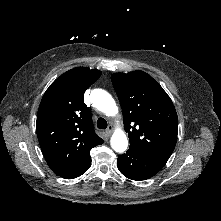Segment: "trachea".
I'll return each instance as SVG.
<instances>
[{"label": "trachea", "mask_w": 221, "mask_h": 221, "mask_svg": "<svg viewBox=\"0 0 221 221\" xmlns=\"http://www.w3.org/2000/svg\"><path fill=\"white\" fill-rule=\"evenodd\" d=\"M97 127L99 129H106L107 128V121L104 118H99L97 120Z\"/></svg>", "instance_id": "obj_1"}]
</instances>
